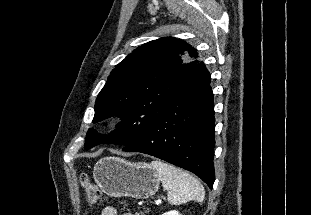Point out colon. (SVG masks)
I'll return each mask as SVG.
<instances>
[{
  "label": "colon",
  "mask_w": 311,
  "mask_h": 215,
  "mask_svg": "<svg viewBox=\"0 0 311 215\" xmlns=\"http://www.w3.org/2000/svg\"><path fill=\"white\" fill-rule=\"evenodd\" d=\"M80 183L90 204H97L102 201L103 194L101 190L96 185L90 183L86 174L80 175Z\"/></svg>",
  "instance_id": "5ec220e1"
}]
</instances>
